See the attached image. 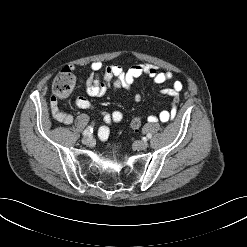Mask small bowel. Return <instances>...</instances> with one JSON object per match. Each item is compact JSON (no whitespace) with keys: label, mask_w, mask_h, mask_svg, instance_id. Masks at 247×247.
<instances>
[{"label":"small bowel","mask_w":247,"mask_h":247,"mask_svg":"<svg viewBox=\"0 0 247 247\" xmlns=\"http://www.w3.org/2000/svg\"><path fill=\"white\" fill-rule=\"evenodd\" d=\"M173 75L172 71H160L157 66L149 63L135 64L129 69L124 70L117 64L105 66L102 62L95 61L90 65V74L84 80V84L85 91L89 97H101L109 89L131 91L135 80L141 76H148L155 84H162L171 80ZM182 87V82L177 80L174 81L171 87H166L161 90L163 95L172 98L171 110H164L158 115H150L148 117L149 122H156L157 120L166 122L175 117L178 97ZM133 99L140 101V91L133 93ZM75 105L81 109H95V105L88 98L83 96H79L75 99ZM99 113L103 118L104 125L99 128L98 134L101 140H107L110 134L109 125L112 122H120L123 119V115L119 110H113L112 112L99 111ZM51 114L56 121L63 124L68 125L73 122V116L60 111L55 102L51 103Z\"/></svg>","instance_id":"obj_1"}]
</instances>
